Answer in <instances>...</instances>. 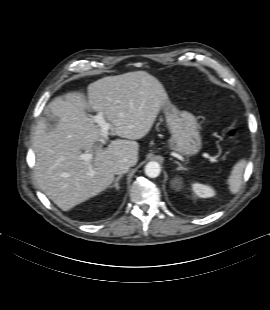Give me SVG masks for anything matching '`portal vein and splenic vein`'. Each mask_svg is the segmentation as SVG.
Masks as SVG:
<instances>
[{"label":"portal vein and splenic vein","mask_w":270,"mask_h":310,"mask_svg":"<svg viewBox=\"0 0 270 310\" xmlns=\"http://www.w3.org/2000/svg\"><path fill=\"white\" fill-rule=\"evenodd\" d=\"M93 120H94V122L98 123V125L101 128V133L103 136L102 143L104 144L108 135H109L108 131L111 128V124L106 122V120L104 119V113L103 112H99L97 115H95L93 117ZM204 157L208 158L211 162H216L215 157H212L208 154H204ZM79 158L81 160H84V161H89L92 159V155L89 153H83V154L79 155Z\"/></svg>","instance_id":"portal-vein-and-splenic-vein-1"}]
</instances>
